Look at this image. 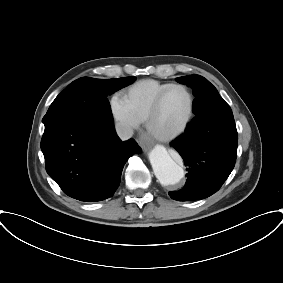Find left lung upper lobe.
<instances>
[{"mask_svg":"<svg viewBox=\"0 0 283 283\" xmlns=\"http://www.w3.org/2000/svg\"><path fill=\"white\" fill-rule=\"evenodd\" d=\"M176 80L179 83L186 84L187 86L193 89V94L196 99L193 102V111L195 113L197 108L209 107L212 104L213 99L216 97H221L216 88L204 77L200 75H189L178 77ZM229 120H226L225 124L227 127L221 128L222 130H218L217 133H211V138L229 141V142H237V130L234 121V117L232 114V110L229 107ZM219 129V127H217Z\"/></svg>","mask_w":283,"mask_h":283,"instance_id":"1","label":"left lung upper lobe"}]
</instances>
